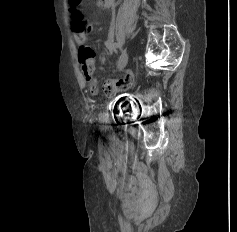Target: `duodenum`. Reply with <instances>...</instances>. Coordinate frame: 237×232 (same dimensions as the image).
Masks as SVG:
<instances>
[{
    "label": "duodenum",
    "instance_id": "duodenum-1",
    "mask_svg": "<svg viewBox=\"0 0 237 232\" xmlns=\"http://www.w3.org/2000/svg\"><path fill=\"white\" fill-rule=\"evenodd\" d=\"M102 7H109L113 0H98Z\"/></svg>",
    "mask_w": 237,
    "mask_h": 232
}]
</instances>
